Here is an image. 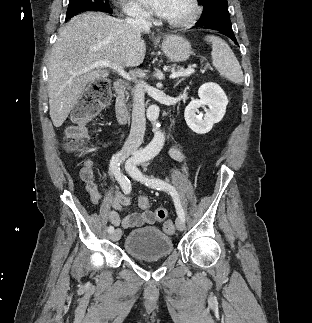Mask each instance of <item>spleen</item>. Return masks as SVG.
<instances>
[{
    "instance_id": "obj_1",
    "label": "spleen",
    "mask_w": 312,
    "mask_h": 323,
    "mask_svg": "<svg viewBox=\"0 0 312 323\" xmlns=\"http://www.w3.org/2000/svg\"><path fill=\"white\" fill-rule=\"evenodd\" d=\"M205 40L212 44V64L220 72V76L228 78L234 84H242L241 66L228 44L218 36H206Z\"/></svg>"
}]
</instances>
